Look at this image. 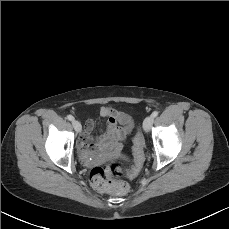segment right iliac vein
Wrapping results in <instances>:
<instances>
[{
    "label": "right iliac vein",
    "mask_w": 229,
    "mask_h": 229,
    "mask_svg": "<svg viewBox=\"0 0 229 229\" xmlns=\"http://www.w3.org/2000/svg\"><path fill=\"white\" fill-rule=\"evenodd\" d=\"M72 124H73V127L77 133L81 131L82 126L78 120H73Z\"/></svg>",
    "instance_id": "right-iliac-vein-1"
}]
</instances>
